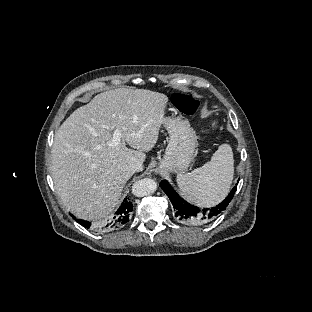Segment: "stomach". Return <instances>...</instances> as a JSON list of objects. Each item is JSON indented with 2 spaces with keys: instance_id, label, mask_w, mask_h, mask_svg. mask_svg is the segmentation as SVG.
I'll list each match as a JSON object with an SVG mask.
<instances>
[{
  "instance_id": "stomach-1",
  "label": "stomach",
  "mask_w": 312,
  "mask_h": 312,
  "mask_svg": "<svg viewBox=\"0 0 312 312\" xmlns=\"http://www.w3.org/2000/svg\"><path fill=\"white\" fill-rule=\"evenodd\" d=\"M163 124L169 133V141L160 168L183 173L190 166L197 146L195 131L189 121L180 116L165 117Z\"/></svg>"
}]
</instances>
